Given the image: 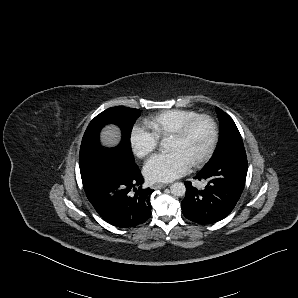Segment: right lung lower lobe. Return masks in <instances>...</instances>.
<instances>
[{
	"label": "right lung lower lobe",
	"mask_w": 298,
	"mask_h": 298,
	"mask_svg": "<svg viewBox=\"0 0 298 298\" xmlns=\"http://www.w3.org/2000/svg\"><path fill=\"white\" fill-rule=\"evenodd\" d=\"M84 191L97 213L108 223L121 227H134L151 216L150 188L138 189L144 182L135 167H121L112 163L104 173L82 179ZM135 194L129 193L131 190Z\"/></svg>",
	"instance_id": "right-lung-lower-lobe-1"
}]
</instances>
